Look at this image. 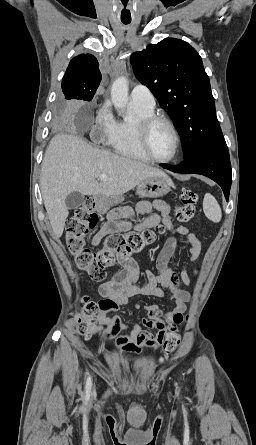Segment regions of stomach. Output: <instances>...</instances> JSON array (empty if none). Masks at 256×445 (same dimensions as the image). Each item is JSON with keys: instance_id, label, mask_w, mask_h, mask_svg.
<instances>
[{"instance_id": "stomach-1", "label": "stomach", "mask_w": 256, "mask_h": 445, "mask_svg": "<svg viewBox=\"0 0 256 445\" xmlns=\"http://www.w3.org/2000/svg\"><path fill=\"white\" fill-rule=\"evenodd\" d=\"M173 183L168 176L156 175L142 181L136 189V193L142 198H160L170 192ZM123 197L96 196L94 198L96 209L101 213H107L110 221L122 218L119 208L110 210V207L123 201Z\"/></svg>"}]
</instances>
